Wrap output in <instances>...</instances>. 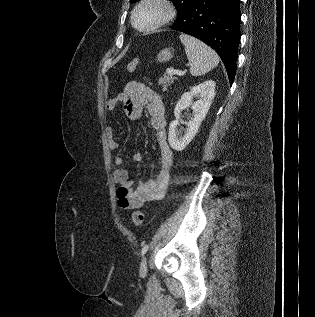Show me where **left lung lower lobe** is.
I'll use <instances>...</instances> for the list:
<instances>
[{
    "instance_id": "obj_1",
    "label": "left lung lower lobe",
    "mask_w": 315,
    "mask_h": 317,
    "mask_svg": "<svg viewBox=\"0 0 315 317\" xmlns=\"http://www.w3.org/2000/svg\"><path fill=\"white\" fill-rule=\"evenodd\" d=\"M240 0H194L183 17L171 29L192 35L211 48L222 59L230 84L236 73L240 42Z\"/></svg>"
}]
</instances>
